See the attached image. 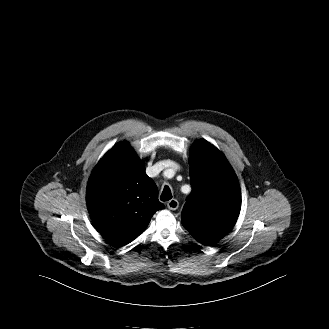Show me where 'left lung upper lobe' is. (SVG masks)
<instances>
[{"instance_id":"5c2ea615","label":"left lung upper lobe","mask_w":329,"mask_h":329,"mask_svg":"<svg viewBox=\"0 0 329 329\" xmlns=\"http://www.w3.org/2000/svg\"><path fill=\"white\" fill-rule=\"evenodd\" d=\"M192 192L182 224L203 245H212L234 226L241 208L237 177L223 154L205 140L190 150Z\"/></svg>"}]
</instances>
